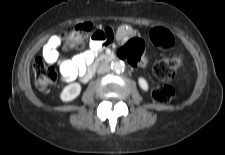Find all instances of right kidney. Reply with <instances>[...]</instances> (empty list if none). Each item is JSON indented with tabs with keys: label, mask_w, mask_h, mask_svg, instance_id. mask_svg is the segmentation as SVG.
<instances>
[{
	"label": "right kidney",
	"mask_w": 225,
	"mask_h": 155,
	"mask_svg": "<svg viewBox=\"0 0 225 155\" xmlns=\"http://www.w3.org/2000/svg\"><path fill=\"white\" fill-rule=\"evenodd\" d=\"M81 92V86L78 83H72L66 86L60 94V99L64 102L74 100Z\"/></svg>",
	"instance_id": "ca27d5eb"
}]
</instances>
